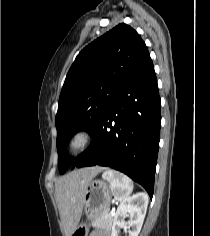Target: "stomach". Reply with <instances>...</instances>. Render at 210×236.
I'll return each mask as SVG.
<instances>
[{
    "mask_svg": "<svg viewBox=\"0 0 210 236\" xmlns=\"http://www.w3.org/2000/svg\"><path fill=\"white\" fill-rule=\"evenodd\" d=\"M110 186L103 180H92L84 193L83 210L87 221H92L104 211H107L113 195ZM82 222L71 236H88L90 224Z\"/></svg>",
    "mask_w": 210,
    "mask_h": 236,
    "instance_id": "obj_1",
    "label": "stomach"
}]
</instances>
